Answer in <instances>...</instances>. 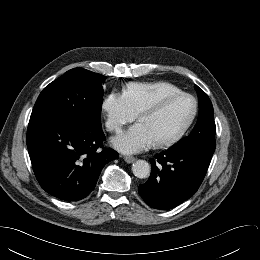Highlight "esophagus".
Segmentation results:
<instances>
[{
  "instance_id": "obj_1",
  "label": "esophagus",
  "mask_w": 260,
  "mask_h": 260,
  "mask_svg": "<svg viewBox=\"0 0 260 260\" xmlns=\"http://www.w3.org/2000/svg\"><path fill=\"white\" fill-rule=\"evenodd\" d=\"M124 160L127 162V163H132L135 161V158L132 157V156H125L124 157Z\"/></svg>"
}]
</instances>
